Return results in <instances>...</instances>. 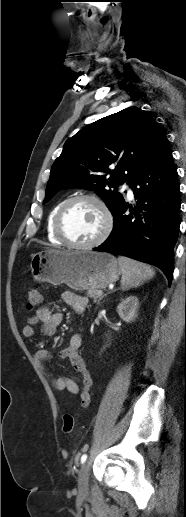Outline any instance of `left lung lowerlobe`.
<instances>
[{"label":"left lung lower lobe","mask_w":186,"mask_h":517,"mask_svg":"<svg viewBox=\"0 0 186 517\" xmlns=\"http://www.w3.org/2000/svg\"><path fill=\"white\" fill-rule=\"evenodd\" d=\"M137 206L124 203L114 213V227L96 251L113 252L160 268L169 284L173 277L174 246L180 226L177 168L166 137L129 181Z\"/></svg>","instance_id":"1"}]
</instances>
